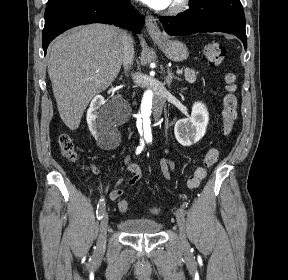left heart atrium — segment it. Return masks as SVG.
<instances>
[{
	"label": "left heart atrium",
	"instance_id": "39dd6f15",
	"mask_svg": "<svg viewBox=\"0 0 288 280\" xmlns=\"http://www.w3.org/2000/svg\"><path fill=\"white\" fill-rule=\"evenodd\" d=\"M150 7L157 9V10H162L170 6L173 0H140Z\"/></svg>",
	"mask_w": 288,
	"mask_h": 280
}]
</instances>
